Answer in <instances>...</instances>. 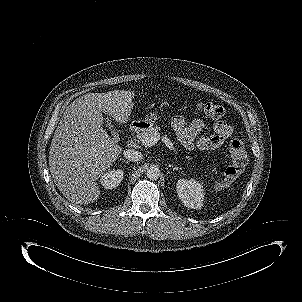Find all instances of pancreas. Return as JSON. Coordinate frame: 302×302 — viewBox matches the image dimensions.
<instances>
[{"label": "pancreas", "instance_id": "obj_1", "mask_svg": "<svg viewBox=\"0 0 302 302\" xmlns=\"http://www.w3.org/2000/svg\"><path fill=\"white\" fill-rule=\"evenodd\" d=\"M160 128L158 126L156 127H152L146 131L141 132L138 135V139L141 141L142 139H144L145 137H150V136H154V135H159ZM160 136V135H159Z\"/></svg>", "mask_w": 302, "mask_h": 302}]
</instances>
